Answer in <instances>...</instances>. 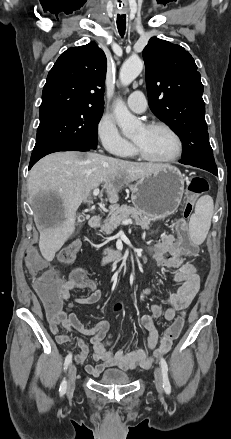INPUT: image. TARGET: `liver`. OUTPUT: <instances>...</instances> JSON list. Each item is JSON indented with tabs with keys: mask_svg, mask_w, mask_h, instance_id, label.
Wrapping results in <instances>:
<instances>
[{
	"mask_svg": "<svg viewBox=\"0 0 231 439\" xmlns=\"http://www.w3.org/2000/svg\"><path fill=\"white\" fill-rule=\"evenodd\" d=\"M167 165L134 163L94 152H58L47 155L31 169L28 177L30 199L52 195L60 202L54 213L40 218L39 249L46 261H52L75 230L76 212L87 202L92 190L103 182L108 201L115 204L125 186Z\"/></svg>",
	"mask_w": 231,
	"mask_h": 439,
	"instance_id": "6515ba94",
	"label": "liver"
}]
</instances>
